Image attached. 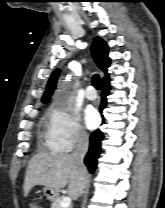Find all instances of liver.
I'll return each mask as SVG.
<instances>
[{
    "mask_svg": "<svg viewBox=\"0 0 165 208\" xmlns=\"http://www.w3.org/2000/svg\"><path fill=\"white\" fill-rule=\"evenodd\" d=\"M88 173H82L71 155L57 153H38L33 156L27 167L24 180V196L35 185H42L59 192L68 185V194L76 199L84 190Z\"/></svg>",
    "mask_w": 165,
    "mask_h": 208,
    "instance_id": "liver-1",
    "label": "liver"
}]
</instances>
